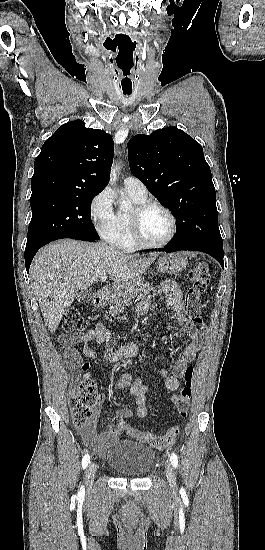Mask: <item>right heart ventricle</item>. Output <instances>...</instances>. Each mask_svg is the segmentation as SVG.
Segmentation results:
<instances>
[{
    "label": "right heart ventricle",
    "mask_w": 265,
    "mask_h": 550,
    "mask_svg": "<svg viewBox=\"0 0 265 550\" xmlns=\"http://www.w3.org/2000/svg\"><path fill=\"white\" fill-rule=\"evenodd\" d=\"M126 192L128 197L133 203V207L135 205H138L140 203L147 201L146 196H140L138 194H135L129 191H126ZM132 208H129V209L120 208L116 212L115 229L113 234L108 240L114 246L124 251H133L134 249L137 248V246L135 245L132 239L131 228H130V218H131Z\"/></svg>",
    "instance_id": "1"
}]
</instances>
